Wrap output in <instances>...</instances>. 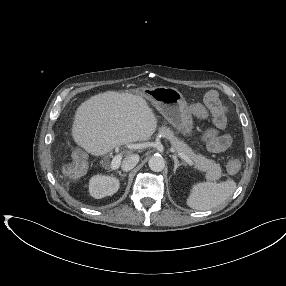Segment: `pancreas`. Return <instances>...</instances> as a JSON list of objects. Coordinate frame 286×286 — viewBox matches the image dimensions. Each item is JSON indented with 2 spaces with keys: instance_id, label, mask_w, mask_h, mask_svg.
Instances as JSON below:
<instances>
[{
  "instance_id": "obj_1",
  "label": "pancreas",
  "mask_w": 286,
  "mask_h": 286,
  "mask_svg": "<svg viewBox=\"0 0 286 286\" xmlns=\"http://www.w3.org/2000/svg\"><path fill=\"white\" fill-rule=\"evenodd\" d=\"M159 134L170 141L172 148L176 152H182L188 156L198 170L206 172L207 180L215 181L221 177L222 170L219 164L215 163L213 160L207 159L201 154H196L184 141L178 139L174 132L169 128L164 126L161 127L159 129Z\"/></svg>"
}]
</instances>
